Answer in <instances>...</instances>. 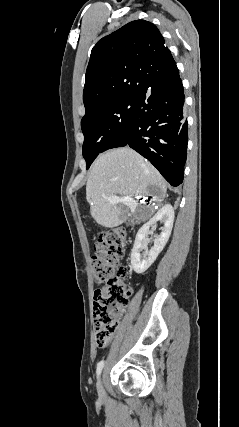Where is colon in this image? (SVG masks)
<instances>
[{"label":"colon","mask_w":239,"mask_h":427,"mask_svg":"<svg viewBox=\"0 0 239 427\" xmlns=\"http://www.w3.org/2000/svg\"><path fill=\"white\" fill-rule=\"evenodd\" d=\"M126 236L122 228L101 233L91 259L94 280L101 285L95 291L93 307L95 340L100 348L111 342L131 295L127 269L122 264Z\"/></svg>","instance_id":"obj_1"}]
</instances>
